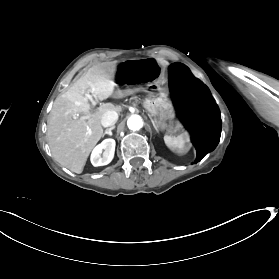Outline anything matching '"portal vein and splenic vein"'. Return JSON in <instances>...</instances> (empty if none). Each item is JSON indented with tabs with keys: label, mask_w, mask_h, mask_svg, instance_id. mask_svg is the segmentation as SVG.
<instances>
[{
	"label": "portal vein and splenic vein",
	"mask_w": 279,
	"mask_h": 279,
	"mask_svg": "<svg viewBox=\"0 0 279 279\" xmlns=\"http://www.w3.org/2000/svg\"><path fill=\"white\" fill-rule=\"evenodd\" d=\"M87 98L92 102L91 103V108L93 110H96L98 108V103L96 101H94L92 95H90V94H87Z\"/></svg>",
	"instance_id": "portal-vein-and-splenic-vein-1"
}]
</instances>
